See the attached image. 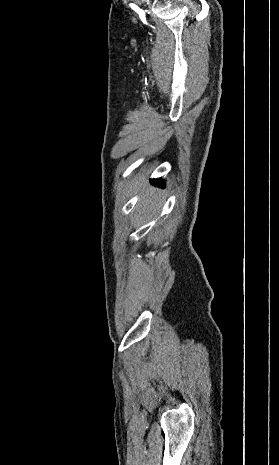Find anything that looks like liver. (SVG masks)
Segmentation results:
<instances>
[{
  "mask_svg": "<svg viewBox=\"0 0 279 465\" xmlns=\"http://www.w3.org/2000/svg\"><path fill=\"white\" fill-rule=\"evenodd\" d=\"M144 180L139 179L136 181L134 191L137 194L142 190ZM164 197L160 190L153 187H147L142 190L141 197L139 198L136 209L138 212L146 215H155L161 208V202Z\"/></svg>",
  "mask_w": 279,
  "mask_h": 465,
  "instance_id": "obj_1",
  "label": "liver"
}]
</instances>
